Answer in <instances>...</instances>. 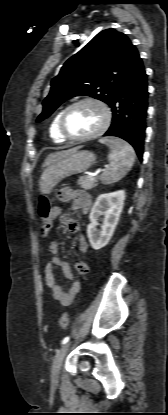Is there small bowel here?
I'll list each match as a JSON object with an SVG mask.
<instances>
[{
    "instance_id": "small-bowel-1",
    "label": "small bowel",
    "mask_w": 168,
    "mask_h": 415,
    "mask_svg": "<svg viewBox=\"0 0 168 415\" xmlns=\"http://www.w3.org/2000/svg\"><path fill=\"white\" fill-rule=\"evenodd\" d=\"M58 198L62 202L70 203L71 208L73 210H80L83 214L88 213L91 207L90 195L83 190H77L70 187H63L58 191ZM57 213L58 210H55V215ZM64 224L70 232L77 234L79 248L83 252H86L88 250V245L84 236L80 234L79 224L72 219H64ZM49 252L52 254V257L48 260V262L45 265L44 272L46 285L51 290L55 300H57L63 306H68L74 302L77 295L79 294L81 290V282L74 279V275L70 265L58 256L59 244L57 241L50 242ZM55 267L60 268L63 275L67 279L72 280V284L69 290L65 291L59 285L57 277L54 273ZM76 270L80 274L87 273L89 270V265L85 261H79L76 264Z\"/></svg>"
}]
</instances>
